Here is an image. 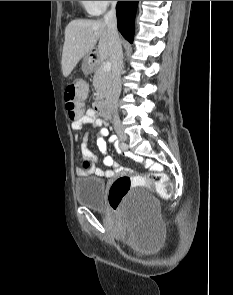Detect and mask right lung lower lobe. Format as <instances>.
<instances>
[{"instance_id": "obj_1", "label": "right lung lower lobe", "mask_w": 233, "mask_h": 295, "mask_svg": "<svg viewBox=\"0 0 233 295\" xmlns=\"http://www.w3.org/2000/svg\"><path fill=\"white\" fill-rule=\"evenodd\" d=\"M138 1H118L116 5L118 30L130 43L134 37V17Z\"/></svg>"}]
</instances>
